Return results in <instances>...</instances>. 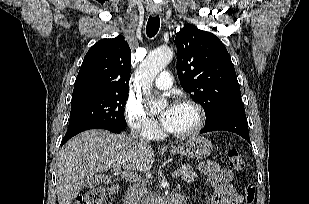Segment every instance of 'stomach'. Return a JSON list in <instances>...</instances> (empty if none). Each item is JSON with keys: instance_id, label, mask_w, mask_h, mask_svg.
<instances>
[{"instance_id": "stomach-1", "label": "stomach", "mask_w": 309, "mask_h": 204, "mask_svg": "<svg viewBox=\"0 0 309 204\" xmlns=\"http://www.w3.org/2000/svg\"><path fill=\"white\" fill-rule=\"evenodd\" d=\"M213 150L212 143L201 136H196L188 139L181 146L173 148L172 154H180L191 159H204L208 157Z\"/></svg>"}]
</instances>
